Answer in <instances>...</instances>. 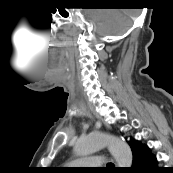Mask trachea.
<instances>
[{"mask_svg":"<svg viewBox=\"0 0 173 173\" xmlns=\"http://www.w3.org/2000/svg\"><path fill=\"white\" fill-rule=\"evenodd\" d=\"M113 167V164L112 163H108L107 164V168H112Z\"/></svg>","mask_w":173,"mask_h":173,"instance_id":"obj_1","label":"trachea"}]
</instances>
